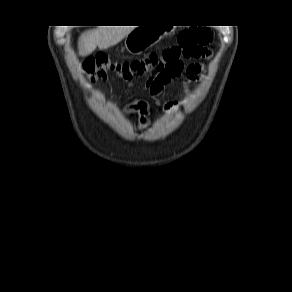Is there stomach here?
<instances>
[{
    "instance_id": "stomach-1",
    "label": "stomach",
    "mask_w": 292,
    "mask_h": 292,
    "mask_svg": "<svg viewBox=\"0 0 292 292\" xmlns=\"http://www.w3.org/2000/svg\"><path fill=\"white\" fill-rule=\"evenodd\" d=\"M162 31L154 27H136L125 39L126 50L134 55L155 45L162 38Z\"/></svg>"
}]
</instances>
